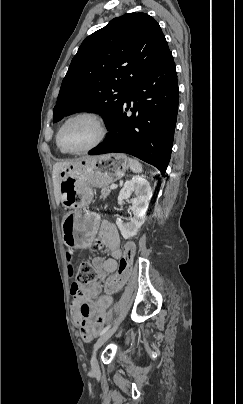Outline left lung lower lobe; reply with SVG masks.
<instances>
[{
	"label": "left lung lower lobe",
	"instance_id": "obj_1",
	"mask_svg": "<svg viewBox=\"0 0 243 404\" xmlns=\"http://www.w3.org/2000/svg\"><path fill=\"white\" fill-rule=\"evenodd\" d=\"M131 101H134V108L130 109L133 115L128 117ZM125 103L116 120L107 126L109 134L105 141L89 154H131L154 165L164 175L171 157L179 103L171 52L135 84Z\"/></svg>",
	"mask_w": 243,
	"mask_h": 404
}]
</instances>
